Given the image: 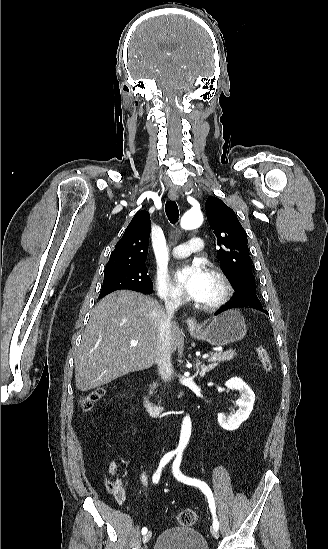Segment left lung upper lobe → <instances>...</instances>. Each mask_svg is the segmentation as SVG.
<instances>
[{"mask_svg": "<svg viewBox=\"0 0 328 549\" xmlns=\"http://www.w3.org/2000/svg\"><path fill=\"white\" fill-rule=\"evenodd\" d=\"M205 207L208 222L220 247L217 251L220 267L235 290L233 300L259 302L247 234L235 212L217 197H209Z\"/></svg>", "mask_w": 328, "mask_h": 549, "instance_id": "1", "label": "left lung upper lobe"}]
</instances>
